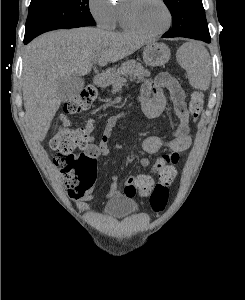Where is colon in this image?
Listing matches in <instances>:
<instances>
[{
    "label": "colon",
    "mask_w": 245,
    "mask_h": 300,
    "mask_svg": "<svg viewBox=\"0 0 245 300\" xmlns=\"http://www.w3.org/2000/svg\"><path fill=\"white\" fill-rule=\"evenodd\" d=\"M96 97V88L88 85L71 99L65 105L64 114L56 123V133L50 141L51 148L58 153L55 162L63 174L65 189L72 198L83 196L91 188L96 178L97 165L95 158L84 153H74L76 149H83L87 145L90 127L70 129L68 115L86 111ZM202 106V94L193 92L189 109L194 120L199 118ZM135 184L140 195L149 196L154 211L164 210L168 200V188L154 190V181L149 175H139Z\"/></svg>",
    "instance_id": "obj_1"
}]
</instances>
